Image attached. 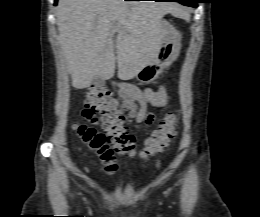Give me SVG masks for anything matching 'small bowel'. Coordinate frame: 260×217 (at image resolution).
<instances>
[{
  "mask_svg": "<svg viewBox=\"0 0 260 217\" xmlns=\"http://www.w3.org/2000/svg\"><path fill=\"white\" fill-rule=\"evenodd\" d=\"M123 110L129 118L137 123L149 126L153 123L155 115L147 110V107H161L167 100V89L160 86L157 90L150 88H138L128 83H115ZM139 104V106H138Z\"/></svg>",
  "mask_w": 260,
  "mask_h": 217,
  "instance_id": "c3829d8e",
  "label": "small bowel"
}]
</instances>
